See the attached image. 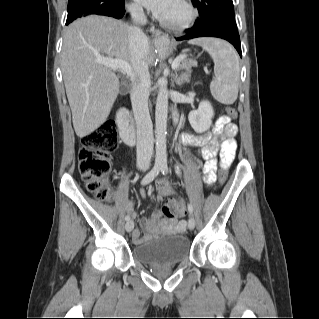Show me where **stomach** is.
Returning a JSON list of instances; mask_svg holds the SVG:
<instances>
[{
  "instance_id": "obj_1",
  "label": "stomach",
  "mask_w": 319,
  "mask_h": 319,
  "mask_svg": "<svg viewBox=\"0 0 319 319\" xmlns=\"http://www.w3.org/2000/svg\"><path fill=\"white\" fill-rule=\"evenodd\" d=\"M159 50L161 51L162 54L168 55L172 52V48L170 46V42L168 39H163L159 43Z\"/></svg>"
}]
</instances>
